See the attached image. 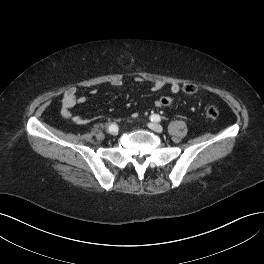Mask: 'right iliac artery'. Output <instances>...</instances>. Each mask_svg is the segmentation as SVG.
Returning a JSON list of instances; mask_svg holds the SVG:
<instances>
[{
	"label": "right iliac artery",
	"mask_w": 264,
	"mask_h": 264,
	"mask_svg": "<svg viewBox=\"0 0 264 264\" xmlns=\"http://www.w3.org/2000/svg\"><path fill=\"white\" fill-rule=\"evenodd\" d=\"M116 128H117V126H116L115 124H110V125L108 126V131L111 132V131H113V130L116 129Z\"/></svg>",
	"instance_id": "1"
}]
</instances>
